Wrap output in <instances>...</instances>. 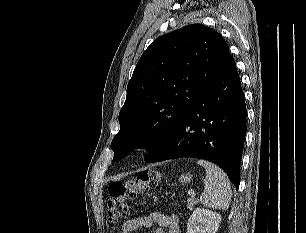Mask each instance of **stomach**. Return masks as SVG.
<instances>
[{
	"label": "stomach",
	"instance_id": "stomach-1",
	"mask_svg": "<svg viewBox=\"0 0 306 233\" xmlns=\"http://www.w3.org/2000/svg\"><path fill=\"white\" fill-rule=\"evenodd\" d=\"M192 176L190 174H182L179 178V181L182 183H188L190 182Z\"/></svg>",
	"mask_w": 306,
	"mask_h": 233
}]
</instances>
